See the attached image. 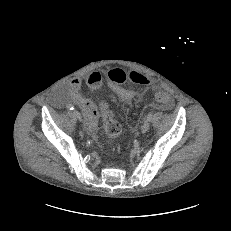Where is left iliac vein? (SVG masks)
I'll return each instance as SVG.
<instances>
[{"mask_svg":"<svg viewBox=\"0 0 231 231\" xmlns=\"http://www.w3.org/2000/svg\"><path fill=\"white\" fill-rule=\"evenodd\" d=\"M149 128H150V123L146 121L141 127V132L146 133L149 130Z\"/></svg>","mask_w":231,"mask_h":231,"instance_id":"obj_1","label":"left iliac vein"}]
</instances>
